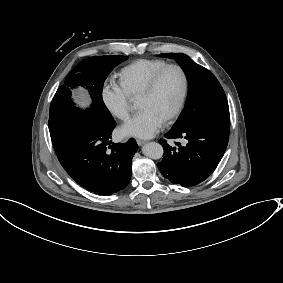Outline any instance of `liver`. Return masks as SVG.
Returning a JSON list of instances; mask_svg holds the SVG:
<instances>
[{
  "instance_id": "liver-1",
  "label": "liver",
  "mask_w": 283,
  "mask_h": 283,
  "mask_svg": "<svg viewBox=\"0 0 283 283\" xmlns=\"http://www.w3.org/2000/svg\"><path fill=\"white\" fill-rule=\"evenodd\" d=\"M77 98L79 99L80 103H84L87 100V96L85 92L81 91L78 95Z\"/></svg>"
}]
</instances>
